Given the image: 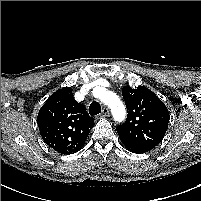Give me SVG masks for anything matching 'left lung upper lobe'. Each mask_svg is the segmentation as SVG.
<instances>
[{
	"label": "left lung upper lobe",
	"mask_w": 201,
	"mask_h": 201,
	"mask_svg": "<svg viewBox=\"0 0 201 201\" xmlns=\"http://www.w3.org/2000/svg\"><path fill=\"white\" fill-rule=\"evenodd\" d=\"M127 107L125 123L117 126L121 141L127 145L150 151L163 139L169 123L165 104L148 88L123 87Z\"/></svg>",
	"instance_id": "obj_1"
}]
</instances>
